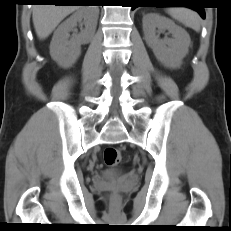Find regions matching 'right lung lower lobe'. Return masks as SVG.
<instances>
[{
	"instance_id": "1",
	"label": "right lung lower lobe",
	"mask_w": 231,
	"mask_h": 231,
	"mask_svg": "<svg viewBox=\"0 0 231 231\" xmlns=\"http://www.w3.org/2000/svg\"><path fill=\"white\" fill-rule=\"evenodd\" d=\"M76 1H80V0H33V2H37V3H52L55 5H68V4L76 5L75 3H78Z\"/></svg>"
}]
</instances>
